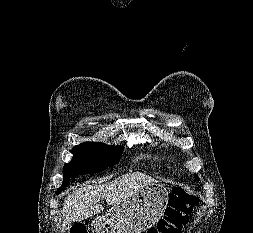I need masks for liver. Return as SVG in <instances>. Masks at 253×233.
<instances>
[{
	"label": "liver",
	"instance_id": "6515ba94",
	"mask_svg": "<svg viewBox=\"0 0 253 233\" xmlns=\"http://www.w3.org/2000/svg\"><path fill=\"white\" fill-rule=\"evenodd\" d=\"M157 183V180L148 175L131 172L105 184H87L66 197L62 210V230H67L75 221L101 213L104 210L103 206L98 204L101 198H104L108 205H116L138 190Z\"/></svg>",
	"mask_w": 253,
	"mask_h": 233
}]
</instances>
